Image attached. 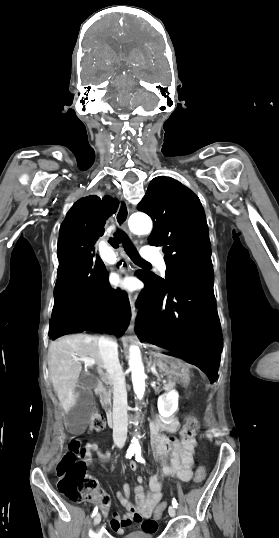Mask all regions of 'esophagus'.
<instances>
[{
	"label": "esophagus",
	"instance_id": "obj_1",
	"mask_svg": "<svg viewBox=\"0 0 279 538\" xmlns=\"http://www.w3.org/2000/svg\"><path fill=\"white\" fill-rule=\"evenodd\" d=\"M128 218H129L128 203L125 200H120L119 207H118V210H117L116 215H115V221H116L117 225L120 228H122V230L127 229ZM136 297H137V295H134L133 297L130 298V306H131L132 317H131L130 326L128 328V333H132L133 329H134V321H135V315H136V312H135V299H136Z\"/></svg>",
	"mask_w": 279,
	"mask_h": 538
}]
</instances>
